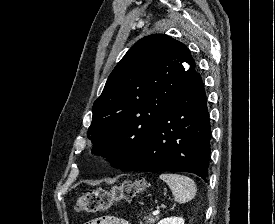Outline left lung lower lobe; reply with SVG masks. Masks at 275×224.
<instances>
[{"label":"left lung lower lobe","mask_w":275,"mask_h":224,"mask_svg":"<svg viewBox=\"0 0 275 224\" xmlns=\"http://www.w3.org/2000/svg\"><path fill=\"white\" fill-rule=\"evenodd\" d=\"M210 140L206 94L196 72L153 126L136 159L122 170L189 172L206 181Z\"/></svg>","instance_id":"1"}]
</instances>
